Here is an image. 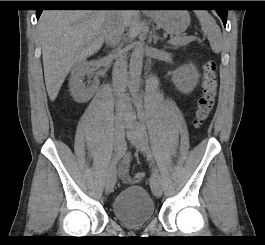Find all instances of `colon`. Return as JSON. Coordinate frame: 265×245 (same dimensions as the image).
Segmentation results:
<instances>
[{
  "label": "colon",
  "instance_id": "obj_1",
  "mask_svg": "<svg viewBox=\"0 0 265 245\" xmlns=\"http://www.w3.org/2000/svg\"><path fill=\"white\" fill-rule=\"evenodd\" d=\"M216 68V63L212 60L205 61L202 66L201 94L198 99L194 118V124L197 127L208 119L215 107L218 93ZM143 179L144 174L141 172L135 173L132 177L134 183H139Z\"/></svg>",
  "mask_w": 265,
  "mask_h": 245
}]
</instances>
